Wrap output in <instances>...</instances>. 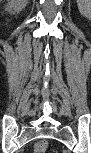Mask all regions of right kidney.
I'll list each match as a JSON object with an SVG mask.
<instances>
[{"mask_svg": "<svg viewBox=\"0 0 91 153\" xmlns=\"http://www.w3.org/2000/svg\"><path fill=\"white\" fill-rule=\"evenodd\" d=\"M24 7L25 5H22L20 0H11L6 5L5 10L10 14H15L16 12L19 13V11H21Z\"/></svg>", "mask_w": 91, "mask_h": 153, "instance_id": "obj_1", "label": "right kidney"}]
</instances>
